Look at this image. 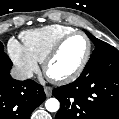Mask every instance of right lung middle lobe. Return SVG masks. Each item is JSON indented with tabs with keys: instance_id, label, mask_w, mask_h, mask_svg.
<instances>
[{
	"instance_id": "obj_1",
	"label": "right lung middle lobe",
	"mask_w": 119,
	"mask_h": 119,
	"mask_svg": "<svg viewBox=\"0 0 119 119\" xmlns=\"http://www.w3.org/2000/svg\"><path fill=\"white\" fill-rule=\"evenodd\" d=\"M0 62L4 63L5 65L9 66L12 65L10 58L6 55V53H4V46L1 42H0Z\"/></svg>"
}]
</instances>
